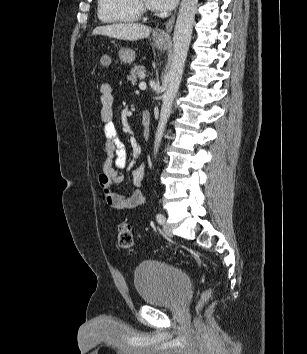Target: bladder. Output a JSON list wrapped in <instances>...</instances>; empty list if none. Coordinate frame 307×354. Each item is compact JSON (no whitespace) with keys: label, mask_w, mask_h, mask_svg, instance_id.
<instances>
[{"label":"bladder","mask_w":307,"mask_h":354,"mask_svg":"<svg viewBox=\"0 0 307 354\" xmlns=\"http://www.w3.org/2000/svg\"><path fill=\"white\" fill-rule=\"evenodd\" d=\"M133 281L142 301L154 306L180 305L191 287L186 272L156 260L139 263L134 269Z\"/></svg>","instance_id":"bladder-1"}]
</instances>
